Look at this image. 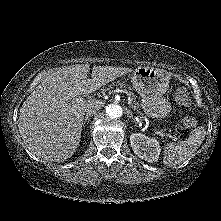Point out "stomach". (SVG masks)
Listing matches in <instances>:
<instances>
[{
    "label": "stomach",
    "mask_w": 221,
    "mask_h": 221,
    "mask_svg": "<svg viewBox=\"0 0 221 221\" xmlns=\"http://www.w3.org/2000/svg\"><path fill=\"white\" fill-rule=\"evenodd\" d=\"M169 74L160 69L139 66L133 71L132 84L141 96V107L153 119H162L171 111L169 100L163 95L169 88Z\"/></svg>",
    "instance_id": "obj_1"
}]
</instances>
